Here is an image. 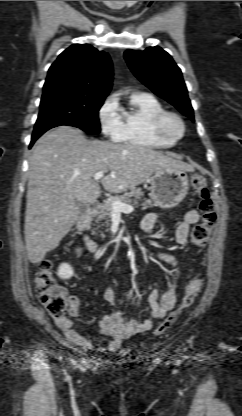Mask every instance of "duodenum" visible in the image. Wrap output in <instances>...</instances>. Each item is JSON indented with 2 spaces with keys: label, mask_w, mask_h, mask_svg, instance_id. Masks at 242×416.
Listing matches in <instances>:
<instances>
[{
  "label": "duodenum",
  "mask_w": 242,
  "mask_h": 416,
  "mask_svg": "<svg viewBox=\"0 0 242 416\" xmlns=\"http://www.w3.org/2000/svg\"><path fill=\"white\" fill-rule=\"evenodd\" d=\"M98 202L94 201L88 205V209L83 217L79 219L77 230L79 234L83 237V240L89 250L96 254L98 253V245L96 242L87 234V223L91 215L98 209Z\"/></svg>",
  "instance_id": "obj_1"
}]
</instances>
